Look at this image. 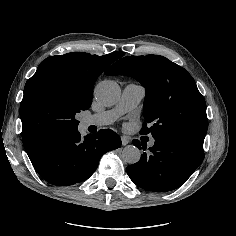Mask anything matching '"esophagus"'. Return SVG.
Wrapping results in <instances>:
<instances>
[{
	"label": "esophagus",
	"instance_id": "1",
	"mask_svg": "<svg viewBox=\"0 0 236 236\" xmlns=\"http://www.w3.org/2000/svg\"><path fill=\"white\" fill-rule=\"evenodd\" d=\"M122 145H127L129 143V139L125 136L121 137Z\"/></svg>",
	"mask_w": 236,
	"mask_h": 236
}]
</instances>
